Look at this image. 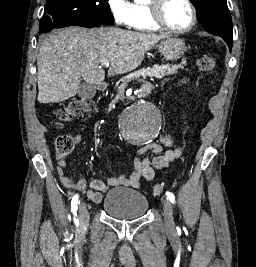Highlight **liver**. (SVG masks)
<instances>
[{"instance_id": "6515ba94", "label": "liver", "mask_w": 256, "mask_h": 267, "mask_svg": "<svg viewBox=\"0 0 256 267\" xmlns=\"http://www.w3.org/2000/svg\"><path fill=\"white\" fill-rule=\"evenodd\" d=\"M168 36L140 34L120 28H62L43 40L37 56L39 104L65 102L76 96L81 78L99 86L110 62L109 78L136 70L145 54Z\"/></svg>"}]
</instances>
